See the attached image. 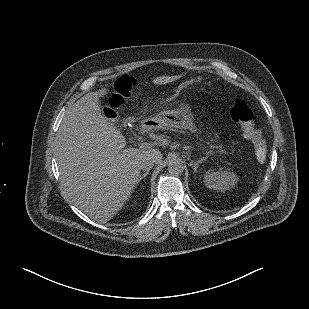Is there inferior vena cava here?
Listing matches in <instances>:
<instances>
[{
	"label": "inferior vena cava",
	"instance_id": "1",
	"mask_svg": "<svg viewBox=\"0 0 309 309\" xmlns=\"http://www.w3.org/2000/svg\"><path fill=\"white\" fill-rule=\"evenodd\" d=\"M155 162L153 160H145L143 161V163L141 164V169L145 172L149 171L153 166H154Z\"/></svg>",
	"mask_w": 309,
	"mask_h": 309
}]
</instances>
